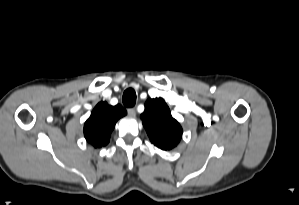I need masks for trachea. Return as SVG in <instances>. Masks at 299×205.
I'll list each match as a JSON object with an SVG mask.
<instances>
[{"instance_id": "obj_1", "label": "trachea", "mask_w": 299, "mask_h": 205, "mask_svg": "<svg viewBox=\"0 0 299 205\" xmlns=\"http://www.w3.org/2000/svg\"><path fill=\"white\" fill-rule=\"evenodd\" d=\"M122 101L125 107H133L136 103V93L132 88L125 90Z\"/></svg>"}]
</instances>
